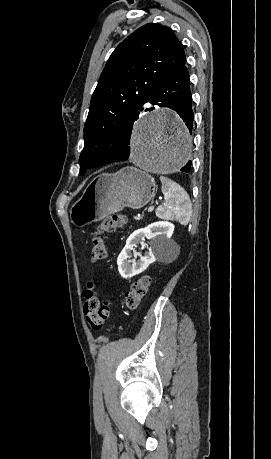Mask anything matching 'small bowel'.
<instances>
[{
    "mask_svg": "<svg viewBox=\"0 0 271 459\" xmlns=\"http://www.w3.org/2000/svg\"><path fill=\"white\" fill-rule=\"evenodd\" d=\"M95 285L92 281L87 282L86 288L83 291V298L87 301L91 296L95 295Z\"/></svg>",
    "mask_w": 271,
    "mask_h": 459,
    "instance_id": "c3829d8e",
    "label": "small bowel"
}]
</instances>
